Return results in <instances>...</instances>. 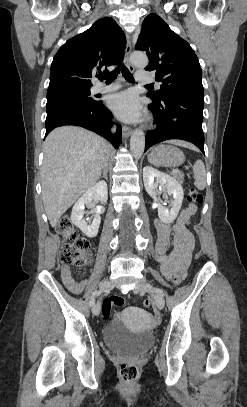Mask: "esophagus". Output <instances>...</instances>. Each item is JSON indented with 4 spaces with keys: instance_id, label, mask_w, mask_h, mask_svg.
<instances>
[{
    "instance_id": "1",
    "label": "esophagus",
    "mask_w": 247,
    "mask_h": 407,
    "mask_svg": "<svg viewBox=\"0 0 247 407\" xmlns=\"http://www.w3.org/2000/svg\"><path fill=\"white\" fill-rule=\"evenodd\" d=\"M126 41H127V44H126V49H125L124 62L126 64L127 68L131 72H134L135 68L130 62V53H131L132 47H131V37L128 33H126ZM122 132L125 137H128L132 134V129L128 126H123Z\"/></svg>"
}]
</instances>
